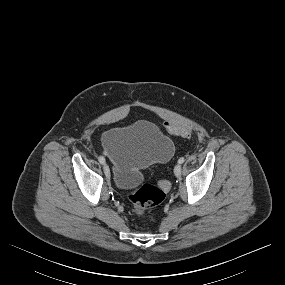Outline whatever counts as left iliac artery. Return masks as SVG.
Segmentation results:
<instances>
[{
	"mask_svg": "<svg viewBox=\"0 0 285 285\" xmlns=\"http://www.w3.org/2000/svg\"><path fill=\"white\" fill-rule=\"evenodd\" d=\"M184 161H185L184 157H181V158L178 160V163H179V164H182Z\"/></svg>",
	"mask_w": 285,
	"mask_h": 285,
	"instance_id": "obj_1",
	"label": "left iliac artery"
}]
</instances>
